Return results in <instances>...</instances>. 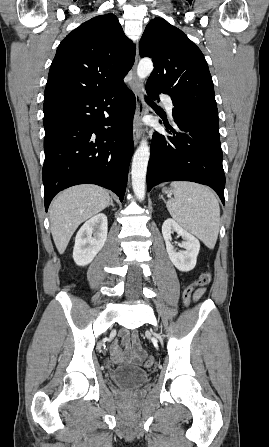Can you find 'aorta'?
Instances as JSON below:
<instances>
[{
    "mask_svg": "<svg viewBox=\"0 0 269 447\" xmlns=\"http://www.w3.org/2000/svg\"><path fill=\"white\" fill-rule=\"evenodd\" d=\"M151 72H153L151 58H143V60H140L137 66L139 80H144V78L150 76ZM149 156L150 148L148 142L147 140H142L133 156L132 162V188L136 198L140 202L145 198V182Z\"/></svg>",
    "mask_w": 269,
    "mask_h": 447,
    "instance_id": "762f6f07",
    "label": "aorta"
}]
</instances>
